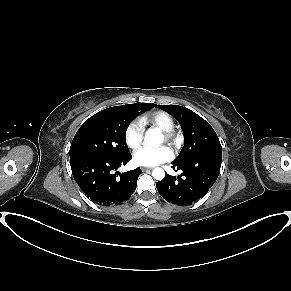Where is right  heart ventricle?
<instances>
[{
	"label": "right heart ventricle",
	"mask_w": 291,
	"mask_h": 291,
	"mask_svg": "<svg viewBox=\"0 0 291 291\" xmlns=\"http://www.w3.org/2000/svg\"><path fill=\"white\" fill-rule=\"evenodd\" d=\"M140 121L143 125L148 124L162 131L172 130L174 128L173 117L169 113L161 110L146 113Z\"/></svg>",
	"instance_id": "obj_1"
}]
</instances>
